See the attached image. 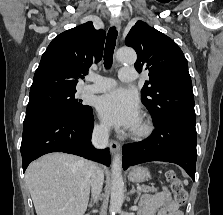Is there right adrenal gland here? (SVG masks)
Instances as JSON below:
<instances>
[{
  "instance_id": "2a0ac1e0",
  "label": "right adrenal gland",
  "mask_w": 223,
  "mask_h": 215,
  "mask_svg": "<svg viewBox=\"0 0 223 215\" xmlns=\"http://www.w3.org/2000/svg\"><path fill=\"white\" fill-rule=\"evenodd\" d=\"M93 203H94V201H90L89 207H93Z\"/></svg>"
}]
</instances>
